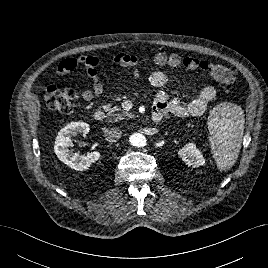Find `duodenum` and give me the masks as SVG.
<instances>
[{
	"instance_id": "duodenum-1",
	"label": "duodenum",
	"mask_w": 268,
	"mask_h": 268,
	"mask_svg": "<svg viewBox=\"0 0 268 268\" xmlns=\"http://www.w3.org/2000/svg\"><path fill=\"white\" fill-rule=\"evenodd\" d=\"M92 116H93V119H94L95 121H102V120L104 119V112H103L102 110L98 109V110H95V111L92 113ZM162 116H163L162 113H160V112H155V113H153V115H152V121H153L154 123H157V122H159V121L162 119Z\"/></svg>"
}]
</instances>
